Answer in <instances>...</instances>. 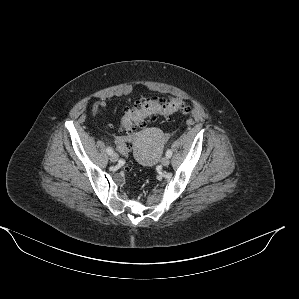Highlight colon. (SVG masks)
<instances>
[{"label":"colon","instance_id":"obj_1","mask_svg":"<svg viewBox=\"0 0 299 299\" xmlns=\"http://www.w3.org/2000/svg\"><path fill=\"white\" fill-rule=\"evenodd\" d=\"M101 109V105L96 103L93 105L92 111L97 113ZM190 109L189 104L178 98H144L137 102L136 107L125 113L122 118V126L131 137L134 130L146 124L158 115L170 117L175 113H186ZM118 149L127 155L130 146L127 143H120Z\"/></svg>","mask_w":299,"mask_h":299}]
</instances>
